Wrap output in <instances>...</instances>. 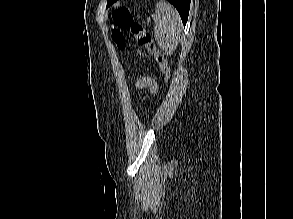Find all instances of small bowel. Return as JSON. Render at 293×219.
<instances>
[{
    "label": "small bowel",
    "mask_w": 293,
    "mask_h": 219,
    "mask_svg": "<svg viewBox=\"0 0 293 219\" xmlns=\"http://www.w3.org/2000/svg\"><path fill=\"white\" fill-rule=\"evenodd\" d=\"M136 86L139 88H148L151 92H155L157 85L154 80L150 78H140L136 81Z\"/></svg>",
    "instance_id": "1"
}]
</instances>
